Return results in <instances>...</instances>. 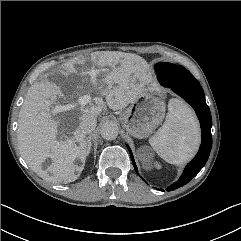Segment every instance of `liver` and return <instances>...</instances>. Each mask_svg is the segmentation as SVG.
<instances>
[{
    "instance_id": "6515ba94",
    "label": "liver",
    "mask_w": 241,
    "mask_h": 241,
    "mask_svg": "<svg viewBox=\"0 0 241 241\" xmlns=\"http://www.w3.org/2000/svg\"><path fill=\"white\" fill-rule=\"evenodd\" d=\"M91 62V69H82L80 73L74 62L65 64L62 73L66 78L72 75L81 76L82 85H77L73 95H65L60 86L43 79L29 88L19 112L17 139L21 155L29 167L34 170L38 168L35 171L52 183H70L79 177L88 155L85 136L79 129L81 118L84 114L96 117L105 107V102L100 97H95L89 105H86L88 102L81 104L76 112L71 110L77 107L75 102L62 106L66 115L75 117L77 126L70 139L58 140L59 121L53 119L50 112L57 97L72 100L84 90L83 84L90 82L105 97L110 109L122 110L145 93L146 85L150 82L148 64L138 55L102 51L94 53ZM106 67L110 71H105ZM101 73L104 75L99 77ZM46 158L52 160L48 168L51 175L40 169ZM76 161L80 164H76Z\"/></svg>"
}]
</instances>
